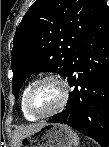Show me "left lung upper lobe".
<instances>
[{"label":"left lung upper lobe","mask_w":109,"mask_h":147,"mask_svg":"<svg viewBox=\"0 0 109 147\" xmlns=\"http://www.w3.org/2000/svg\"><path fill=\"white\" fill-rule=\"evenodd\" d=\"M107 6L105 0H36L17 27L11 69L15 98L34 72L68 76L80 41Z\"/></svg>","instance_id":"left-lung-upper-lobe-1"}]
</instances>
